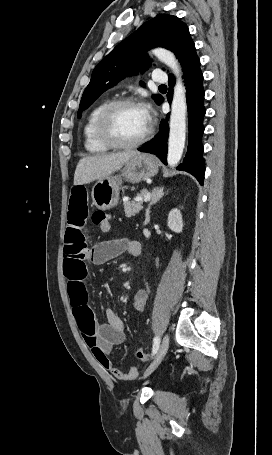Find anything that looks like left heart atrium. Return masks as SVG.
Returning a JSON list of instances; mask_svg holds the SVG:
<instances>
[{
  "mask_svg": "<svg viewBox=\"0 0 272 455\" xmlns=\"http://www.w3.org/2000/svg\"><path fill=\"white\" fill-rule=\"evenodd\" d=\"M140 108L142 110V113L144 115V118H145L146 122L149 123V121H150V109H149V106L142 105V106H140Z\"/></svg>",
  "mask_w": 272,
  "mask_h": 455,
  "instance_id": "1",
  "label": "left heart atrium"
}]
</instances>
